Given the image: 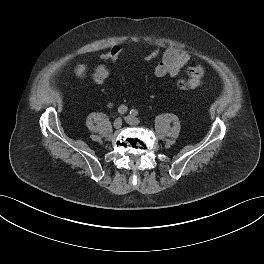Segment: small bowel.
<instances>
[{
    "mask_svg": "<svg viewBox=\"0 0 264 264\" xmlns=\"http://www.w3.org/2000/svg\"><path fill=\"white\" fill-rule=\"evenodd\" d=\"M191 54L173 46L167 47L160 61L154 68V75L157 78L171 77L174 78L179 75L180 71L190 61ZM75 74L78 78L83 79L87 75V66L84 63H79L75 68ZM189 81L194 88L201 85L204 68L201 65H195L187 69ZM110 77L108 68L103 63H98L93 73L90 75L91 80L96 84H105Z\"/></svg>",
    "mask_w": 264,
    "mask_h": 264,
    "instance_id": "c3829d8e",
    "label": "small bowel"
}]
</instances>
